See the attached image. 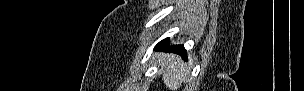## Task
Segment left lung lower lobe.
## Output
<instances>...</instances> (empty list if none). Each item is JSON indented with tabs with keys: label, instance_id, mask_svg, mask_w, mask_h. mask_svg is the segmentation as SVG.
I'll return each mask as SVG.
<instances>
[{
	"label": "left lung lower lobe",
	"instance_id": "0a47b994",
	"mask_svg": "<svg viewBox=\"0 0 304 91\" xmlns=\"http://www.w3.org/2000/svg\"><path fill=\"white\" fill-rule=\"evenodd\" d=\"M169 44H170L169 38H166L160 41L155 46V50H165V51L175 52L177 54H180L185 60H187L186 50L183 47V45L169 46Z\"/></svg>",
	"mask_w": 304,
	"mask_h": 91
}]
</instances>
